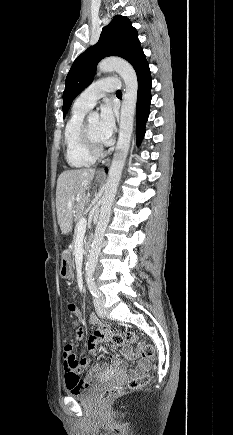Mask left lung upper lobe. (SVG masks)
<instances>
[{"instance_id": "1", "label": "left lung upper lobe", "mask_w": 233, "mask_h": 435, "mask_svg": "<svg viewBox=\"0 0 233 435\" xmlns=\"http://www.w3.org/2000/svg\"><path fill=\"white\" fill-rule=\"evenodd\" d=\"M105 56L124 58L131 63L136 73L148 64L138 32L127 17L114 16L102 29L99 41L74 61L65 81L63 117L75 97L93 81L97 63Z\"/></svg>"}]
</instances>
